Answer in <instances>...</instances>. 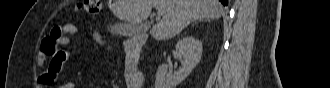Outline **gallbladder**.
Segmentation results:
<instances>
[{
	"label": "gallbladder",
	"mask_w": 330,
	"mask_h": 88,
	"mask_svg": "<svg viewBox=\"0 0 330 88\" xmlns=\"http://www.w3.org/2000/svg\"><path fill=\"white\" fill-rule=\"evenodd\" d=\"M111 30L114 34L132 37L138 33L139 25L130 23L115 24Z\"/></svg>",
	"instance_id": "gallbladder-1"
}]
</instances>
